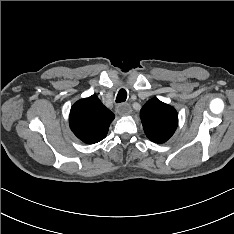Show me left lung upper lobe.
Masks as SVG:
<instances>
[{"label": "left lung upper lobe", "instance_id": "obj_1", "mask_svg": "<svg viewBox=\"0 0 234 234\" xmlns=\"http://www.w3.org/2000/svg\"><path fill=\"white\" fill-rule=\"evenodd\" d=\"M146 136L155 143L166 142L178 126L175 108L157 98L147 101L140 111Z\"/></svg>", "mask_w": 234, "mask_h": 234}]
</instances>
